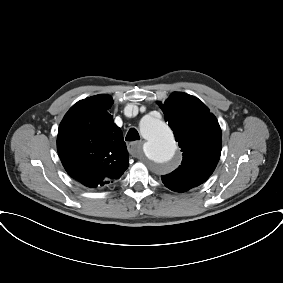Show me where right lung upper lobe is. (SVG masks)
Listing matches in <instances>:
<instances>
[{
  "instance_id": "obj_1",
  "label": "right lung upper lobe",
  "mask_w": 283,
  "mask_h": 283,
  "mask_svg": "<svg viewBox=\"0 0 283 283\" xmlns=\"http://www.w3.org/2000/svg\"><path fill=\"white\" fill-rule=\"evenodd\" d=\"M109 95L81 100L59 125L57 149L68 174L87 187H99L120 178L128 168V152L121 129L108 109Z\"/></svg>"
}]
</instances>
